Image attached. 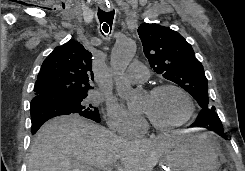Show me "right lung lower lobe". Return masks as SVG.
Instances as JSON below:
<instances>
[{"instance_id": "1", "label": "right lung lower lobe", "mask_w": 245, "mask_h": 171, "mask_svg": "<svg viewBox=\"0 0 245 171\" xmlns=\"http://www.w3.org/2000/svg\"><path fill=\"white\" fill-rule=\"evenodd\" d=\"M31 133L35 134L47 120L60 116L68 115L72 112L59 102L49 99L31 101Z\"/></svg>"}]
</instances>
